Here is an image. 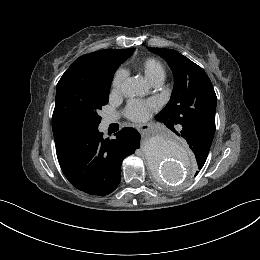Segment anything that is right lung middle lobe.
Returning a JSON list of instances; mask_svg holds the SVG:
<instances>
[{
  "mask_svg": "<svg viewBox=\"0 0 260 260\" xmlns=\"http://www.w3.org/2000/svg\"><path fill=\"white\" fill-rule=\"evenodd\" d=\"M134 50L63 74L57 84L52 116L54 138L98 127L101 122L98 112L108 103L114 73Z\"/></svg>",
  "mask_w": 260,
  "mask_h": 260,
  "instance_id": "right-lung-middle-lobe-1",
  "label": "right lung middle lobe"
}]
</instances>
